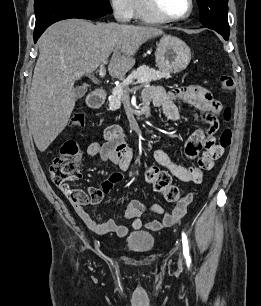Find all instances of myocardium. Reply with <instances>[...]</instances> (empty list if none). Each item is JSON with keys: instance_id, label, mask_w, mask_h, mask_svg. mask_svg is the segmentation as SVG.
Returning <instances> with one entry per match:
<instances>
[{"instance_id": "myocardium-1", "label": "myocardium", "mask_w": 261, "mask_h": 306, "mask_svg": "<svg viewBox=\"0 0 261 306\" xmlns=\"http://www.w3.org/2000/svg\"><path fill=\"white\" fill-rule=\"evenodd\" d=\"M188 1H189L188 11L184 15L177 16V17H170V16L165 15L160 9L157 0H142V3H143L144 8L150 15H152L153 17H155L161 22L171 23V22L183 21L187 19L188 17H190V15L192 14L194 10L195 3H194V0H188Z\"/></svg>"}]
</instances>
